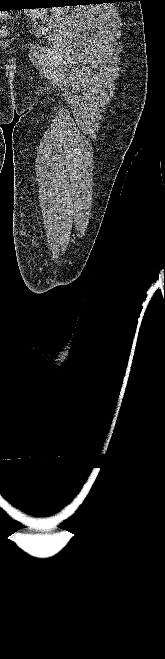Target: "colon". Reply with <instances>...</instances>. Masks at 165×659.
I'll list each match as a JSON object with an SVG mask.
<instances>
[{
	"mask_svg": "<svg viewBox=\"0 0 165 659\" xmlns=\"http://www.w3.org/2000/svg\"><path fill=\"white\" fill-rule=\"evenodd\" d=\"M7 33H8V32H7L6 28L3 26V27L0 29V35H1V36H5V35H7Z\"/></svg>",
	"mask_w": 165,
	"mask_h": 659,
	"instance_id": "5ec220e1",
	"label": "colon"
}]
</instances>
